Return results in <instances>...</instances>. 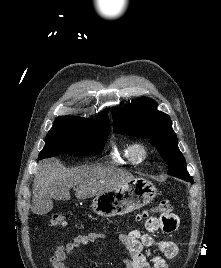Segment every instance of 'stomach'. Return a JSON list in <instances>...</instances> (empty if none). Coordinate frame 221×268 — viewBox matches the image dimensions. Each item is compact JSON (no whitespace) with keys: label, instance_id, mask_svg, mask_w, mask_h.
Masks as SVG:
<instances>
[{"label":"stomach","instance_id":"0dacf381","mask_svg":"<svg viewBox=\"0 0 221 268\" xmlns=\"http://www.w3.org/2000/svg\"><path fill=\"white\" fill-rule=\"evenodd\" d=\"M156 192L157 189L151 182L140 178L133 179L96 196L92 201V209L102 217L124 215L150 203Z\"/></svg>","mask_w":221,"mask_h":268}]
</instances>
